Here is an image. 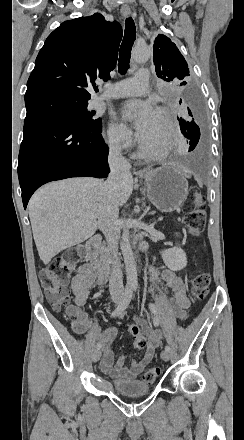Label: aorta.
I'll return each mask as SVG.
<instances>
[{"mask_svg":"<svg viewBox=\"0 0 244 440\" xmlns=\"http://www.w3.org/2000/svg\"><path fill=\"white\" fill-rule=\"evenodd\" d=\"M151 56V50L145 47H137L133 51V58L137 62L147 61ZM120 248L124 259L126 271V283L128 286H136L138 283V274L135 258L131 249L129 229L125 228L120 242Z\"/></svg>","mask_w":244,"mask_h":440,"instance_id":"aorta-1","label":"aorta"}]
</instances>
